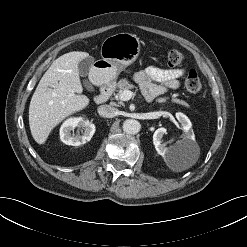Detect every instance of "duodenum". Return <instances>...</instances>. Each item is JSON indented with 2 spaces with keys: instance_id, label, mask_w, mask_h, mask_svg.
Wrapping results in <instances>:
<instances>
[{
  "instance_id": "obj_1",
  "label": "duodenum",
  "mask_w": 247,
  "mask_h": 247,
  "mask_svg": "<svg viewBox=\"0 0 247 247\" xmlns=\"http://www.w3.org/2000/svg\"><path fill=\"white\" fill-rule=\"evenodd\" d=\"M112 86L111 85H104L102 86L100 92L98 93V95L95 97V102L97 104H104L108 101V99L110 98L111 94H112Z\"/></svg>"
}]
</instances>
